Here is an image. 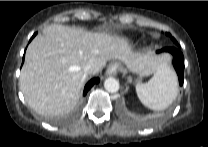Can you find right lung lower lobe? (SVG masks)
Here are the masks:
<instances>
[{
  "mask_svg": "<svg viewBox=\"0 0 208 147\" xmlns=\"http://www.w3.org/2000/svg\"><path fill=\"white\" fill-rule=\"evenodd\" d=\"M35 35H36V34H34V35L32 36L31 40L33 39V37H34ZM99 81H100L99 78H94V79L90 80V81L86 84V86H85V88H84V95H86V93L88 92V90H89L94 84L99 83Z\"/></svg>",
  "mask_w": 208,
  "mask_h": 147,
  "instance_id": "1",
  "label": "right lung lower lobe"
}]
</instances>
